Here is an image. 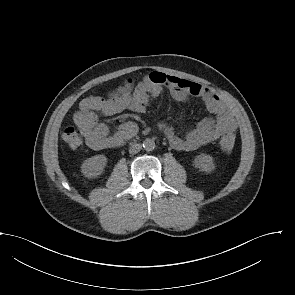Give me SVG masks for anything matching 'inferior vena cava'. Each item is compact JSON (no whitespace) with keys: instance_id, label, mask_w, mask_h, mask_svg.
I'll return each instance as SVG.
<instances>
[{"instance_id":"602c4592","label":"inferior vena cava","mask_w":295,"mask_h":295,"mask_svg":"<svg viewBox=\"0 0 295 295\" xmlns=\"http://www.w3.org/2000/svg\"><path fill=\"white\" fill-rule=\"evenodd\" d=\"M142 146L138 143H132L129 148V153L136 154L141 150Z\"/></svg>"}]
</instances>
